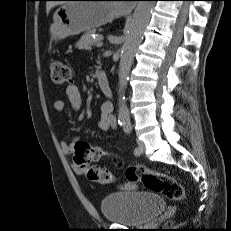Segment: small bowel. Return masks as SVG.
<instances>
[{
	"label": "small bowel",
	"mask_w": 231,
	"mask_h": 231,
	"mask_svg": "<svg viewBox=\"0 0 231 231\" xmlns=\"http://www.w3.org/2000/svg\"><path fill=\"white\" fill-rule=\"evenodd\" d=\"M66 96L73 109L79 110L82 106V97L77 85H68L65 89ZM66 108V103L63 100H56L54 102V109L58 113H63ZM113 105L110 101L106 100L101 105V119L98 122V126L103 131H108L117 128V120L112 113ZM78 140L77 137H73L71 140H64L61 142L62 151L67 155L73 154L74 143ZM73 169L78 174H85L87 169L80 167L76 164L73 165ZM128 189H136L137 184L135 182L126 183Z\"/></svg>",
	"instance_id": "obj_1"
}]
</instances>
